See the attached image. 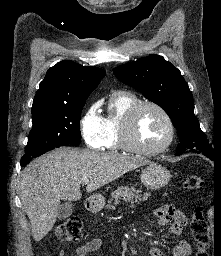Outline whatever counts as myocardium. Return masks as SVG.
Masks as SVG:
<instances>
[{
  "instance_id": "myocardium-1",
  "label": "myocardium",
  "mask_w": 221,
  "mask_h": 256,
  "mask_svg": "<svg viewBox=\"0 0 221 256\" xmlns=\"http://www.w3.org/2000/svg\"><path fill=\"white\" fill-rule=\"evenodd\" d=\"M146 107L156 109L165 119L168 127L166 140L156 148H147L141 145L136 138V120L139 113ZM175 138V125L171 115L160 104L154 101H141L133 105L126 113L121 128V140L124 147L131 152L144 156H155L165 152L173 143Z\"/></svg>"
}]
</instances>
